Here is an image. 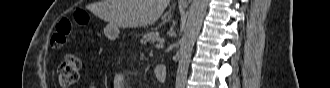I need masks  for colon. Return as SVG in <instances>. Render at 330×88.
I'll return each mask as SVG.
<instances>
[{
  "instance_id": "obj_1",
  "label": "colon",
  "mask_w": 330,
  "mask_h": 88,
  "mask_svg": "<svg viewBox=\"0 0 330 88\" xmlns=\"http://www.w3.org/2000/svg\"><path fill=\"white\" fill-rule=\"evenodd\" d=\"M79 21L84 22V15L78 16ZM72 24L69 19L63 18L56 25V31L52 35L51 44L54 48H61L65 43L67 36L71 32ZM81 69L80 59L67 54L58 67L59 82L64 87H70L77 83Z\"/></svg>"
}]
</instances>
